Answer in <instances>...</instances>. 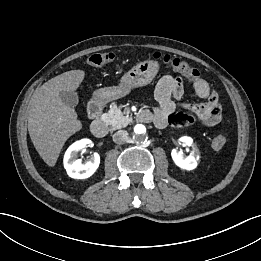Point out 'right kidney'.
I'll use <instances>...</instances> for the list:
<instances>
[{
	"instance_id": "ca27d5eb",
	"label": "right kidney",
	"mask_w": 261,
	"mask_h": 261,
	"mask_svg": "<svg viewBox=\"0 0 261 261\" xmlns=\"http://www.w3.org/2000/svg\"><path fill=\"white\" fill-rule=\"evenodd\" d=\"M91 140L82 139L74 142L69 148L66 150L64 155V168L67 171V174L71 178L75 179H86L92 176L100 164V156L95 153L94 156L84 163H82L81 159L78 158V152L85 147L90 146Z\"/></svg>"
}]
</instances>
